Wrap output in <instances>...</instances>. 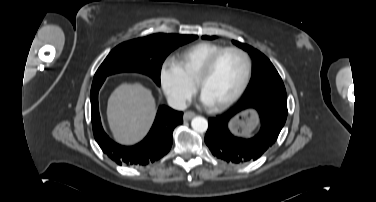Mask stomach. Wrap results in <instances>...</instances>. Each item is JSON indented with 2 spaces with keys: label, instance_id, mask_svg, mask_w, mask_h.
Here are the masks:
<instances>
[{
  "label": "stomach",
  "instance_id": "0dacf381",
  "mask_svg": "<svg viewBox=\"0 0 376 202\" xmlns=\"http://www.w3.org/2000/svg\"><path fill=\"white\" fill-rule=\"evenodd\" d=\"M255 125L256 121L253 115L248 116L247 114H243L242 119L237 117L233 121L232 129L235 132L241 131L243 134H247L255 128Z\"/></svg>",
  "mask_w": 376,
  "mask_h": 202
}]
</instances>
